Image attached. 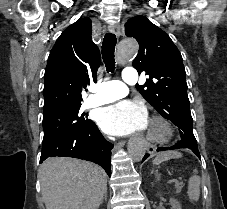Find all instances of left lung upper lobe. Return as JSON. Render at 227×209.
Segmentation results:
<instances>
[{
    "label": "left lung upper lobe",
    "mask_w": 227,
    "mask_h": 209,
    "mask_svg": "<svg viewBox=\"0 0 227 209\" xmlns=\"http://www.w3.org/2000/svg\"><path fill=\"white\" fill-rule=\"evenodd\" d=\"M125 33L139 43L133 67L149 75L144 85H136L137 90L161 116L179 128L181 144L198 149L179 50L168 34L143 15L129 19Z\"/></svg>",
    "instance_id": "left-lung-upper-lobe-1"
}]
</instances>
